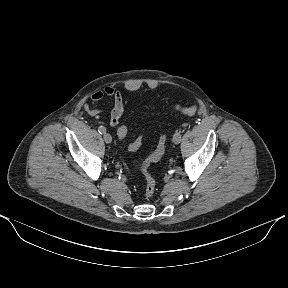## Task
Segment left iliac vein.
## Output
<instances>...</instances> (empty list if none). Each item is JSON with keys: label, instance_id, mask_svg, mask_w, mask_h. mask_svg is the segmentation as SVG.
Segmentation results:
<instances>
[{"label": "left iliac vein", "instance_id": "left-iliac-vein-1", "mask_svg": "<svg viewBox=\"0 0 288 288\" xmlns=\"http://www.w3.org/2000/svg\"><path fill=\"white\" fill-rule=\"evenodd\" d=\"M180 141H181V136H178V135H177V132H176V133L173 135V142H174L175 144H179Z\"/></svg>", "mask_w": 288, "mask_h": 288}]
</instances>
